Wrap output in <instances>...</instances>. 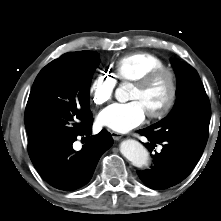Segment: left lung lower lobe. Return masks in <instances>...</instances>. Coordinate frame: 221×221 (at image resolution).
<instances>
[{"label":"left lung lower lobe","mask_w":221,"mask_h":221,"mask_svg":"<svg viewBox=\"0 0 221 221\" xmlns=\"http://www.w3.org/2000/svg\"><path fill=\"white\" fill-rule=\"evenodd\" d=\"M151 144L144 145L151 151L155 143L163 146L160 153L152 155L153 164L149 169L137 171L140 179L151 189L161 190L183 181L193 170L205 147L182 139H157L149 127L138 131Z\"/></svg>","instance_id":"1"}]
</instances>
